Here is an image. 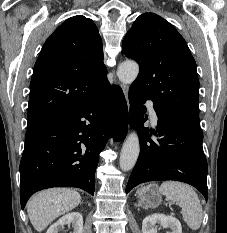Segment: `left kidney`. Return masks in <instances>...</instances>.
Instances as JSON below:
<instances>
[{"label":"left kidney","instance_id":"left-kidney-1","mask_svg":"<svg viewBox=\"0 0 227 233\" xmlns=\"http://www.w3.org/2000/svg\"><path fill=\"white\" fill-rule=\"evenodd\" d=\"M156 224H160L163 228H170V233H182L180 221L173 216L163 214H152L144 218L142 233H157Z\"/></svg>","mask_w":227,"mask_h":233}]
</instances>
